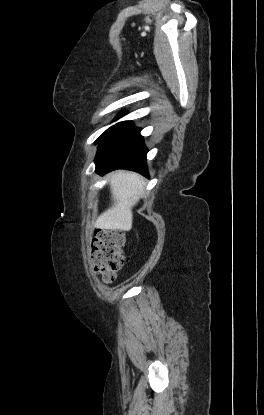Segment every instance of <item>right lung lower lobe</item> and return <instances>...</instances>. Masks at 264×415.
I'll use <instances>...</instances> for the list:
<instances>
[{
    "label": "right lung lower lobe",
    "instance_id": "98d812e1",
    "mask_svg": "<svg viewBox=\"0 0 264 415\" xmlns=\"http://www.w3.org/2000/svg\"><path fill=\"white\" fill-rule=\"evenodd\" d=\"M97 143L99 147L95 163L96 171L101 175L116 169H128L148 175L147 148L140 129L134 128L130 121L114 125Z\"/></svg>",
    "mask_w": 264,
    "mask_h": 415
}]
</instances>
